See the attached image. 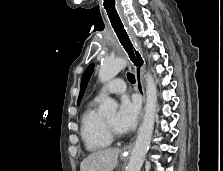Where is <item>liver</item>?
<instances>
[{"mask_svg":"<svg viewBox=\"0 0 223 171\" xmlns=\"http://www.w3.org/2000/svg\"><path fill=\"white\" fill-rule=\"evenodd\" d=\"M118 148L98 150L85 158L80 171H113L118 162Z\"/></svg>","mask_w":223,"mask_h":171,"instance_id":"liver-1","label":"liver"}]
</instances>
